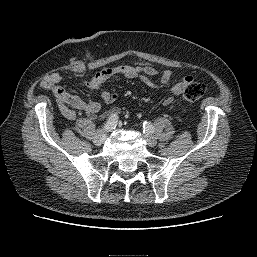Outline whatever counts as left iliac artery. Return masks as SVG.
<instances>
[{
	"label": "left iliac artery",
	"instance_id": "1",
	"mask_svg": "<svg viewBox=\"0 0 257 257\" xmlns=\"http://www.w3.org/2000/svg\"><path fill=\"white\" fill-rule=\"evenodd\" d=\"M143 128H144V133L149 132L153 133L155 131L154 126L150 122H143Z\"/></svg>",
	"mask_w": 257,
	"mask_h": 257
}]
</instances>
